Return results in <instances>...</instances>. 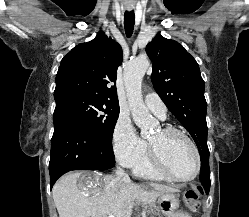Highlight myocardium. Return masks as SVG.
<instances>
[{
    "instance_id": "obj_1",
    "label": "myocardium",
    "mask_w": 249,
    "mask_h": 217,
    "mask_svg": "<svg viewBox=\"0 0 249 217\" xmlns=\"http://www.w3.org/2000/svg\"><path fill=\"white\" fill-rule=\"evenodd\" d=\"M161 132L166 135V136H180L183 139H185L189 145L191 146L195 158H196V167L195 170L193 172V174L191 176L188 177H178L175 176L167 167L163 156L161 155V153L156 149L155 146H153L150 142H149V147H148V156H149V160L151 165L153 166V168L162 176H164L166 179L171 180V181H175V182H189L192 181L193 179L196 178V176L199 174L200 169H201V156H200V152L199 149L196 145V143L193 141V139L186 134L184 131L174 128V127H164L161 129Z\"/></svg>"
}]
</instances>
